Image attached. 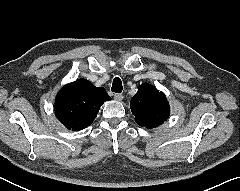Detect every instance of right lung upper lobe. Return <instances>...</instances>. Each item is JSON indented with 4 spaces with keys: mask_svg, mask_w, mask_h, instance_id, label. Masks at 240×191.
Masks as SVG:
<instances>
[{
    "mask_svg": "<svg viewBox=\"0 0 240 191\" xmlns=\"http://www.w3.org/2000/svg\"><path fill=\"white\" fill-rule=\"evenodd\" d=\"M111 98L103 87L86 79L65 85L55 99V115L69 130L78 131L92 124L101 105Z\"/></svg>",
    "mask_w": 240,
    "mask_h": 191,
    "instance_id": "obj_1",
    "label": "right lung upper lobe"
}]
</instances>
